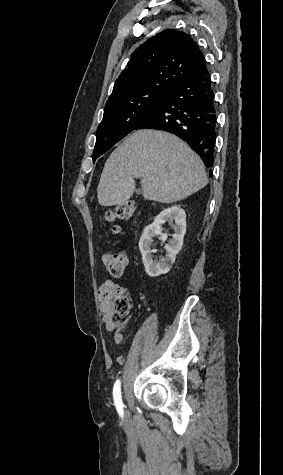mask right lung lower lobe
Wrapping results in <instances>:
<instances>
[{
  "label": "right lung lower lobe",
  "mask_w": 283,
  "mask_h": 475,
  "mask_svg": "<svg viewBox=\"0 0 283 475\" xmlns=\"http://www.w3.org/2000/svg\"><path fill=\"white\" fill-rule=\"evenodd\" d=\"M216 126V102L208 72L176 85L134 130L156 129L175 134L200 155L211 170Z\"/></svg>",
  "instance_id": "obj_1"
}]
</instances>
